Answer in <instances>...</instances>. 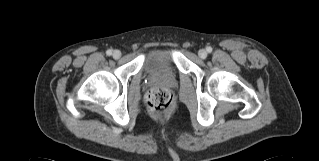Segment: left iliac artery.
I'll list each match as a JSON object with an SVG mask.
<instances>
[{"label":"left iliac artery","mask_w":319,"mask_h":161,"mask_svg":"<svg viewBox=\"0 0 319 161\" xmlns=\"http://www.w3.org/2000/svg\"><path fill=\"white\" fill-rule=\"evenodd\" d=\"M206 50H207L208 53L212 52V48L211 47H207Z\"/></svg>","instance_id":"44dca946"}]
</instances>
